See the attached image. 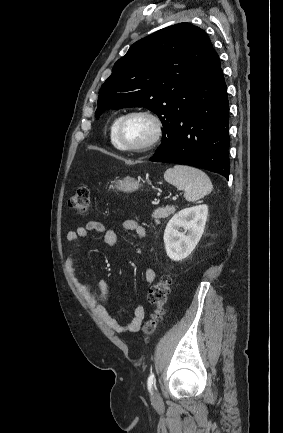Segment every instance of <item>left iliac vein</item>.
Instances as JSON below:
<instances>
[{
    "mask_svg": "<svg viewBox=\"0 0 283 433\" xmlns=\"http://www.w3.org/2000/svg\"><path fill=\"white\" fill-rule=\"evenodd\" d=\"M151 399H152L153 404H154L155 406H160V405H161V402H162L161 397H160L159 394L154 390V388H153V391H152Z\"/></svg>",
    "mask_w": 283,
    "mask_h": 433,
    "instance_id": "1",
    "label": "left iliac vein"
}]
</instances>
